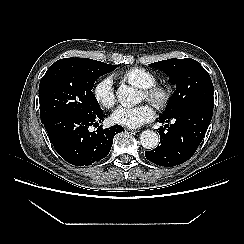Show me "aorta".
<instances>
[{
	"label": "aorta",
	"instance_id": "762f6f07",
	"mask_svg": "<svg viewBox=\"0 0 244 244\" xmlns=\"http://www.w3.org/2000/svg\"><path fill=\"white\" fill-rule=\"evenodd\" d=\"M117 98L122 105L130 106L138 102V91L127 85H120L116 91ZM159 142V136L152 130H145L140 136V143L146 149H154Z\"/></svg>",
	"mask_w": 244,
	"mask_h": 244
}]
</instances>
